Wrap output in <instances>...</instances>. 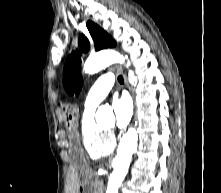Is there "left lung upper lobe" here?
<instances>
[{
	"instance_id": "1",
	"label": "left lung upper lobe",
	"mask_w": 221,
	"mask_h": 193,
	"mask_svg": "<svg viewBox=\"0 0 221 193\" xmlns=\"http://www.w3.org/2000/svg\"><path fill=\"white\" fill-rule=\"evenodd\" d=\"M87 28L94 40L96 50H101L116 46V42L112 37L100 28L97 24L88 21ZM78 46L82 52H87L90 48L88 39L81 35L79 37ZM64 86L70 94H79L82 87L81 77V52L73 51L66 59L64 65Z\"/></svg>"
}]
</instances>
